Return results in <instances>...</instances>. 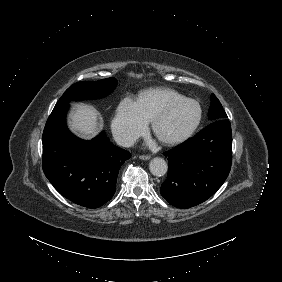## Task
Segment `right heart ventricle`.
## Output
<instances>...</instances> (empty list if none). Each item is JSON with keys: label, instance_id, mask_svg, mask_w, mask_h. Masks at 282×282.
Wrapping results in <instances>:
<instances>
[{"label": "right heart ventricle", "instance_id": "e07e8e85", "mask_svg": "<svg viewBox=\"0 0 282 282\" xmlns=\"http://www.w3.org/2000/svg\"><path fill=\"white\" fill-rule=\"evenodd\" d=\"M181 95L169 89H151L142 94L139 105L149 121H153L170 102L178 100Z\"/></svg>", "mask_w": 282, "mask_h": 282}]
</instances>
